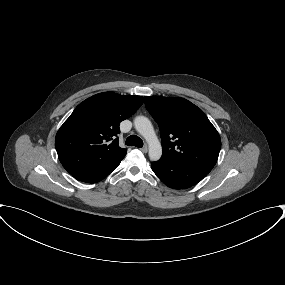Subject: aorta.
Listing matches in <instances>:
<instances>
[{"label": "aorta", "mask_w": 285, "mask_h": 285, "mask_svg": "<svg viewBox=\"0 0 285 285\" xmlns=\"http://www.w3.org/2000/svg\"><path fill=\"white\" fill-rule=\"evenodd\" d=\"M134 127L140 133L149 146V158L157 161L162 156V146L154 131L151 121L145 116H137L134 119Z\"/></svg>", "instance_id": "aorta-1"}]
</instances>
